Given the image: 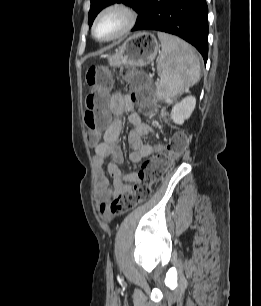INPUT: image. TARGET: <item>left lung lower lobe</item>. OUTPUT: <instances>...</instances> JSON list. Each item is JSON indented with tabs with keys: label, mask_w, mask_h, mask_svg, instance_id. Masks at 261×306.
Segmentation results:
<instances>
[{
	"label": "left lung lower lobe",
	"mask_w": 261,
	"mask_h": 306,
	"mask_svg": "<svg viewBox=\"0 0 261 306\" xmlns=\"http://www.w3.org/2000/svg\"><path fill=\"white\" fill-rule=\"evenodd\" d=\"M207 15L206 0H146L132 31L157 30L177 35L207 61Z\"/></svg>",
	"instance_id": "1"
}]
</instances>
